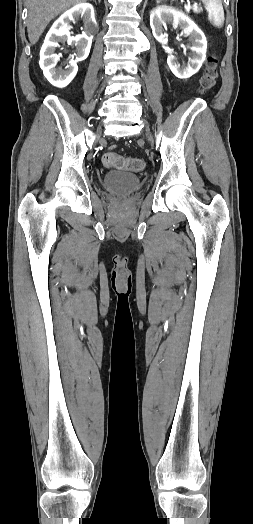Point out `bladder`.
<instances>
[{
	"label": "bladder",
	"mask_w": 253,
	"mask_h": 524,
	"mask_svg": "<svg viewBox=\"0 0 253 524\" xmlns=\"http://www.w3.org/2000/svg\"><path fill=\"white\" fill-rule=\"evenodd\" d=\"M103 187L116 194H130L142 186V181L136 175L124 171H109L102 178Z\"/></svg>",
	"instance_id": "obj_1"
}]
</instances>
